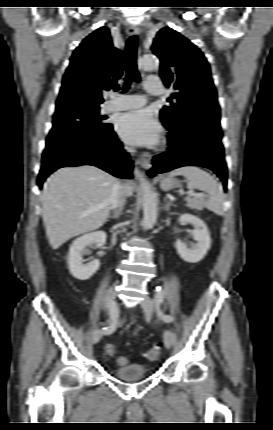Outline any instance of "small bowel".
<instances>
[{"mask_svg": "<svg viewBox=\"0 0 273 430\" xmlns=\"http://www.w3.org/2000/svg\"><path fill=\"white\" fill-rule=\"evenodd\" d=\"M123 322H120L119 324H118V327H122L123 326Z\"/></svg>", "mask_w": 273, "mask_h": 430, "instance_id": "c3829d8e", "label": "small bowel"}]
</instances>
